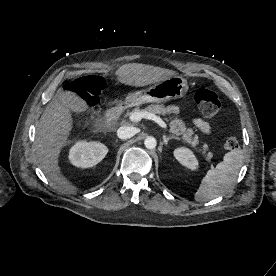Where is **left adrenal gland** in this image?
Instances as JSON below:
<instances>
[{"mask_svg": "<svg viewBox=\"0 0 276 276\" xmlns=\"http://www.w3.org/2000/svg\"><path fill=\"white\" fill-rule=\"evenodd\" d=\"M172 139H175V140H179L178 137H175V136H169L167 137L166 135H163V141H164V144L165 145H168V142Z\"/></svg>", "mask_w": 276, "mask_h": 276, "instance_id": "left-adrenal-gland-1", "label": "left adrenal gland"}]
</instances>
